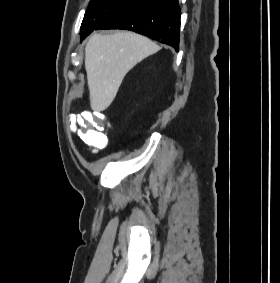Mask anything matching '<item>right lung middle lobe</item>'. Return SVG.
Masks as SVG:
<instances>
[{"instance_id":"1","label":"right lung middle lobe","mask_w":280,"mask_h":283,"mask_svg":"<svg viewBox=\"0 0 280 283\" xmlns=\"http://www.w3.org/2000/svg\"><path fill=\"white\" fill-rule=\"evenodd\" d=\"M136 0H91L81 24V38H85L104 20Z\"/></svg>"}]
</instances>
